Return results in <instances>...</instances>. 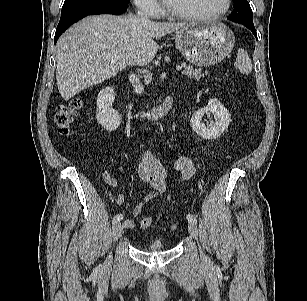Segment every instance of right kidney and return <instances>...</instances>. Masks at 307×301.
I'll use <instances>...</instances> for the list:
<instances>
[{"instance_id":"ca27d5eb","label":"right kidney","mask_w":307,"mask_h":301,"mask_svg":"<svg viewBox=\"0 0 307 301\" xmlns=\"http://www.w3.org/2000/svg\"><path fill=\"white\" fill-rule=\"evenodd\" d=\"M115 93L112 87L102 89L97 97L96 119L107 131L116 130L121 124V115L112 108Z\"/></svg>"}]
</instances>
